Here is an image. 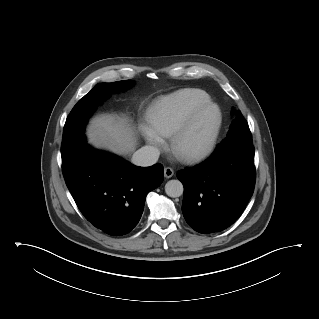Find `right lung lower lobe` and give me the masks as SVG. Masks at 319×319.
Returning <instances> with one entry per match:
<instances>
[{"mask_svg":"<svg viewBox=\"0 0 319 319\" xmlns=\"http://www.w3.org/2000/svg\"><path fill=\"white\" fill-rule=\"evenodd\" d=\"M62 170L82 214L111 236L127 234L138 224L146 195L164 176L160 163L137 167L93 149L84 137L62 155Z\"/></svg>","mask_w":319,"mask_h":319,"instance_id":"98d812e1","label":"right lung lower lobe"}]
</instances>
